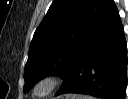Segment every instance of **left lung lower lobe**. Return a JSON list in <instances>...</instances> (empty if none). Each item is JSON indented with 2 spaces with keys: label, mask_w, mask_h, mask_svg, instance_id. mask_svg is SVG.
I'll return each mask as SVG.
<instances>
[{
  "label": "left lung lower lobe",
  "mask_w": 128,
  "mask_h": 99,
  "mask_svg": "<svg viewBox=\"0 0 128 99\" xmlns=\"http://www.w3.org/2000/svg\"><path fill=\"white\" fill-rule=\"evenodd\" d=\"M62 78L64 82L56 96L78 93L102 99H125L127 43L113 0Z\"/></svg>",
  "instance_id": "1"
}]
</instances>
